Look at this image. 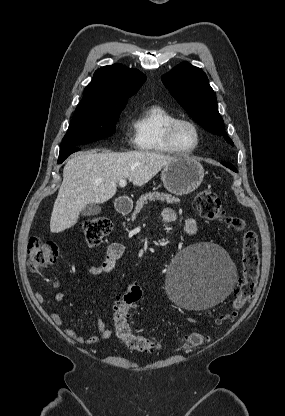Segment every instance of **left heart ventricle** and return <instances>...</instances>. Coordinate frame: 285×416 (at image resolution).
Returning <instances> with one entry per match:
<instances>
[{"instance_id": "1", "label": "left heart ventricle", "mask_w": 285, "mask_h": 416, "mask_svg": "<svg viewBox=\"0 0 285 416\" xmlns=\"http://www.w3.org/2000/svg\"><path fill=\"white\" fill-rule=\"evenodd\" d=\"M175 141L181 149H191L196 145V135L193 128L186 124L181 123L175 129Z\"/></svg>"}]
</instances>
